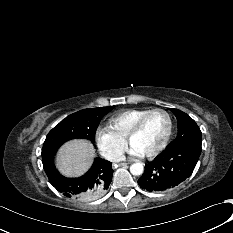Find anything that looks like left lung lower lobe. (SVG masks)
I'll use <instances>...</instances> for the list:
<instances>
[{
	"label": "left lung lower lobe",
	"instance_id": "0a47b994",
	"mask_svg": "<svg viewBox=\"0 0 233 233\" xmlns=\"http://www.w3.org/2000/svg\"><path fill=\"white\" fill-rule=\"evenodd\" d=\"M201 147H167L152 162L145 165L139 186L150 192H161L178 186L191 176Z\"/></svg>",
	"mask_w": 233,
	"mask_h": 233
}]
</instances>
